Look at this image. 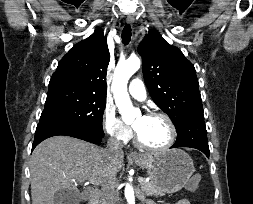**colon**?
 <instances>
[{
  "instance_id": "1",
  "label": "colon",
  "mask_w": 253,
  "mask_h": 204,
  "mask_svg": "<svg viewBox=\"0 0 253 204\" xmlns=\"http://www.w3.org/2000/svg\"><path fill=\"white\" fill-rule=\"evenodd\" d=\"M202 180V175L199 173L194 174L191 179L190 182L188 184V188L190 190H195L198 186V184L201 182Z\"/></svg>"
}]
</instances>
